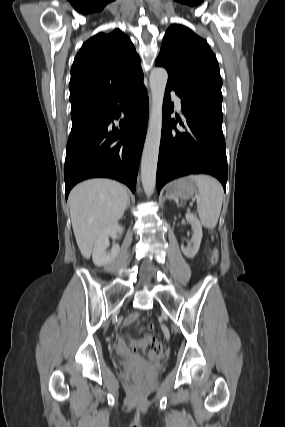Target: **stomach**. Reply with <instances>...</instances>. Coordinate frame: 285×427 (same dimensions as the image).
<instances>
[{
    "label": "stomach",
    "mask_w": 285,
    "mask_h": 427,
    "mask_svg": "<svg viewBox=\"0 0 285 427\" xmlns=\"http://www.w3.org/2000/svg\"><path fill=\"white\" fill-rule=\"evenodd\" d=\"M197 191V184L188 178L175 180L168 184L167 193L172 198L189 199Z\"/></svg>",
    "instance_id": "obj_1"
}]
</instances>
